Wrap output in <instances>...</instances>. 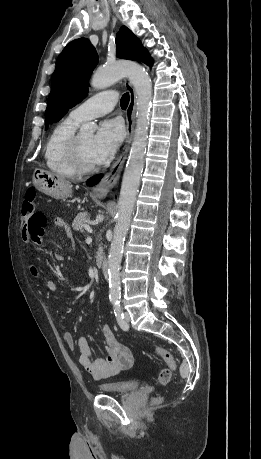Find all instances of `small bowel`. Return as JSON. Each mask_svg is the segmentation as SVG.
I'll return each mask as SVG.
<instances>
[{"label": "small bowel", "mask_w": 261, "mask_h": 459, "mask_svg": "<svg viewBox=\"0 0 261 459\" xmlns=\"http://www.w3.org/2000/svg\"><path fill=\"white\" fill-rule=\"evenodd\" d=\"M53 224L56 227L62 228L65 231L69 230L67 223L61 217H55ZM43 234H35L33 238H26L25 241L37 245H43ZM31 274L40 279L45 288L49 292H55L57 286L54 281L43 278L39 268L35 265L30 267ZM105 341V356L94 359L88 342L85 337H79L75 340L71 333H64V341L68 348L74 350L76 347L80 350L79 363L83 366L95 379H104L116 375L121 371L128 370L133 365V357L130 350L123 345L115 336L112 327L105 324L102 328Z\"/></svg>", "instance_id": "1"}]
</instances>
